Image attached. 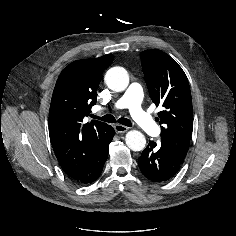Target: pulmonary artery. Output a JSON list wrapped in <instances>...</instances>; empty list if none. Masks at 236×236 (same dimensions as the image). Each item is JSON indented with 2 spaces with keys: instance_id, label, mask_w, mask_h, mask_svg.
<instances>
[{
  "instance_id": "obj_1",
  "label": "pulmonary artery",
  "mask_w": 236,
  "mask_h": 236,
  "mask_svg": "<svg viewBox=\"0 0 236 236\" xmlns=\"http://www.w3.org/2000/svg\"><path fill=\"white\" fill-rule=\"evenodd\" d=\"M143 89L140 84L132 83L116 102L117 108H127L133 120L148 135H156L159 132V126L147 114L141 106Z\"/></svg>"
}]
</instances>
